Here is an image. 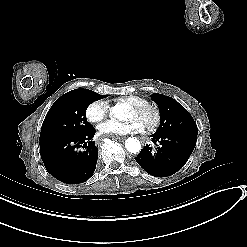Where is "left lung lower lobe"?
Returning <instances> with one entry per match:
<instances>
[{
	"label": "left lung lower lobe",
	"instance_id": "1",
	"mask_svg": "<svg viewBox=\"0 0 247 247\" xmlns=\"http://www.w3.org/2000/svg\"><path fill=\"white\" fill-rule=\"evenodd\" d=\"M197 137L183 134H154L152 141L158 147L152 150L148 144L135 158L150 175L166 177L180 170L189 159L196 145Z\"/></svg>",
	"mask_w": 247,
	"mask_h": 247
}]
</instances>
